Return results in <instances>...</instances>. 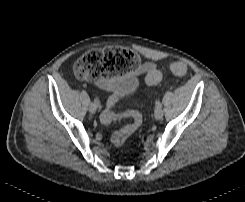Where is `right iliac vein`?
Here are the masks:
<instances>
[{
    "label": "right iliac vein",
    "mask_w": 245,
    "mask_h": 202,
    "mask_svg": "<svg viewBox=\"0 0 245 202\" xmlns=\"http://www.w3.org/2000/svg\"><path fill=\"white\" fill-rule=\"evenodd\" d=\"M96 110H97V106L94 104V102L91 103L90 106H89V111H90V113L93 114V113L96 112Z\"/></svg>",
    "instance_id": "obj_1"
}]
</instances>
